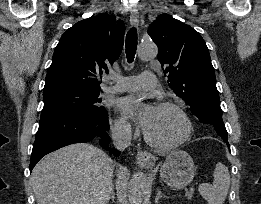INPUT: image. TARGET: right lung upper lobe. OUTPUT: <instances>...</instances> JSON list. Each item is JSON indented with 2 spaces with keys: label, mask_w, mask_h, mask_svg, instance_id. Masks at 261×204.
I'll return each instance as SVG.
<instances>
[{
  "label": "right lung upper lobe",
  "mask_w": 261,
  "mask_h": 204,
  "mask_svg": "<svg viewBox=\"0 0 261 204\" xmlns=\"http://www.w3.org/2000/svg\"><path fill=\"white\" fill-rule=\"evenodd\" d=\"M125 26L108 14L77 22L61 36L48 69L43 94L100 90L99 76L120 56Z\"/></svg>",
  "instance_id": "right-lung-upper-lobe-1"
}]
</instances>
